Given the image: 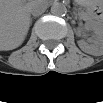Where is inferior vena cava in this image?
Returning a JSON list of instances; mask_svg holds the SVG:
<instances>
[{
  "label": "inferior vena cava",
  "mask_w": 103,
  "mask_h": 103,
  "mask_svg": "<svg viewBox=\"0 0 103 103\" xmlns=\"http://www.w3.org/2000/svg\"><path fill=\"white\" fill-rule=\"evenodd\" d=\"M47 6L44 1H34L30 7V12L33 16H39L45 12Z\"/></svg>",
  "instance_id": "inferior-vena-cava-1"
}]
</instances>
